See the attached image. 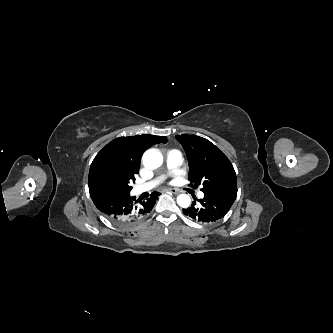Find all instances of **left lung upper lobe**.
<instances>
[{"mask_svg":"<svg viewBox=\"0 0 333 333\" xmlns=\"http://www.w3.org/2000/svg\"><path fill=\"white\" fill-rule=\"evenodd\" d=\"M188 158V179L192 184L203 185L205 195L235 201L237 180L234 168L225 156L209 140L193 135H176Z\"/></svg>","mask_w":333,"mask_h":333,"instance_id":"left-lung-upper-lobe-1","label":"left lung upper lobe"}]
</instances>
